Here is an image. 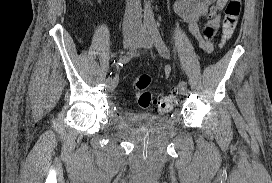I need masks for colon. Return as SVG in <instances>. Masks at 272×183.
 <instances>
[{
  "mask_svg": "<svg viewBox=\"0 0 272 183\" xmlns=\"http://www.w3.org/2000/svg\"><path fill=\"white\" fill-rule=\"evenodd\" d=\"M241 0H229L225 9V17L222 29V42H226L234 33L237 26L238 18L241 12ZM151 83V77L148 74L138 76L133 88L136 92V99L144 109L153 108L159 113L170 111L177 104V95L175 92L154 98L152 93L148 91Z\"/></svg>",
  "mask_w": 272,
  "mask_h": 183,
  "instance_id": "5ec220e1",
  "label": "colon"
}]
</instances>
